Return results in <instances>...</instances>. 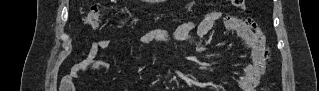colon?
<instances>
[{
  "label": "colon",
  "instance_id": "colon-1",
  "mask_svg": "<svg viewBox=\"0 0 319 91\" xmlns=\"http://www.w3.org/2000/svg\"><path fill=\"white\" fill-rule=\"evenodd\" d=\"M231 4L237 8L244 9L245 1L244 0H231ZM83 22L85 25L91 28H99L104 23V12L103 8L100 5H92L89 7L87 12L83 17Z\"/></svg>",
  "mask_w": 319,
  "mask_h": 91
}]
</instances>
